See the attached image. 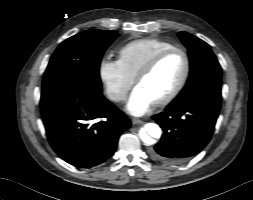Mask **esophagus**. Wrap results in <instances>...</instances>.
Wrapping results in <instances>:
<instances>
[{
  "instance_id": "esophagus-1",
  "label": "esophagus",
  "mask_w": 253,
  "mask_h": 200,
  "mask_svg": "<svg viewBox=\"0 0 253 200\" xmlns=\"http://www.w3.org/2000/svg\"><path fill=\"white\" fill-rule=\"evenodd\" d=\"M144 122L140 119L133 118L132 119V124L137 125V124H143Z\"/></svg>"
}]
</instances>
